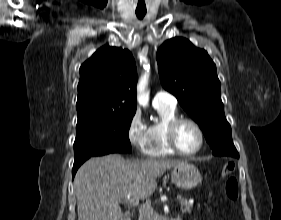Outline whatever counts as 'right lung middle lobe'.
<instances>
[{
  "label": "right lung middle lobe",
  "instance_id": "1",
  "mask_svg": "<svg viewBox=\"0 0 281 220\" xmlns=\"http://www.w3.org/2000/svg\"><path fill=\"white\" fill-rule=\"evenodd\" d=\"M135 113L78 118L74 142L75 161L109 153L131 152L129 128Z\"/></svg>",
  "mask_w": 281,
  "mask_h": 220
}]
</instances>
